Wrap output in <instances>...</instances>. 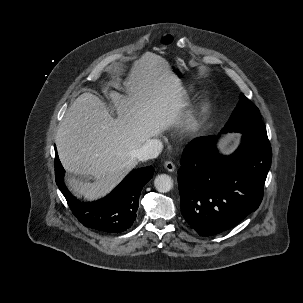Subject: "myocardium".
Listing matches in <instances>:
<instances>
[{"label":"myocardium","instance_id":"f54148a6","mask_svg":"<svg viewBox=\"0 0 303 303\" xmlns=\"http://www.w3.org/2000/svg\"><path fill=\"white\" fill-rule=\"evenodd\" d=\"M204 114V107L200 106L190 113L183 122V129L186 132H195L200 124Z\"/></svg>","mask_w":303,"mask_h":303}]
</instances>
